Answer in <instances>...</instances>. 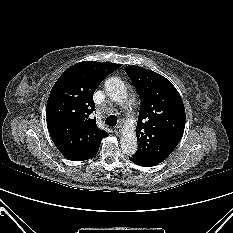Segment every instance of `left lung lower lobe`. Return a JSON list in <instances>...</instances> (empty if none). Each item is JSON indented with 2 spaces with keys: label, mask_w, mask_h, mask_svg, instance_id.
<instances>
[{
  "label": "left lung lower lobe",
  "mask_w": 233,
  "mask_h": 233,
  "mask_svg": "<svg viewBox=\"0 0 233 233\" xmlns=\"http://www.w3.org/2000/svg\"><path fill=\"white\" fill-rule=\"evenodd\" d=\"M129 159H130L133 163H135V164H137V165L147 167L144 163H142V162H140V161L134 159L133 157H129Z\"/></svg>",
  "instance_id": "1"
}]
</instances>
